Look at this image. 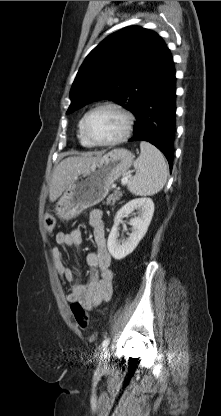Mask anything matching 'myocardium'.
Here are the masks:
<instances>
[{"instance_id":"f54148a6","label":"myocardium","mask_w":221,"mask_h":416,"mask_svg":"<svg viewBox=\"0 0 221 416\" xmlns=\"http://www.w3.org/2000/svg\"><path fill=\"white\" fill-rule=\"evenodd\" d=\"M104 108H110L116 110L118 113L122 115L124 118V127L122 133L114 139L107 140V141H97L90 137L87 132L86 126L89 117L96 111ZM134 124V116L133 114L123 105L113 102L107 101L100 103L93 108H91L82 118L81 121V132L83 136L93 145V146H113L125 141L131 134Z\"/></svg>"}]
</instances>
